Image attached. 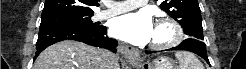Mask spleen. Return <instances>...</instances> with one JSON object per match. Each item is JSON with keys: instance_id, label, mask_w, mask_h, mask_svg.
<instances>
[{"instance_id": "obj_1", "label": "spleen", "mask_w": 246, "mask_h": 69, "mask_svg": "<svg viewBox=\"0 0 246 69\" xmlns=\"http://www.w3.org/2000/svg\"><path fill=\"white\" fill-rule=\"evenodd\" d=\"M175 57L178 59L181 69H204L203 64L193 53L187 51L176 52Z\"/></svg>"}]
</instances>
